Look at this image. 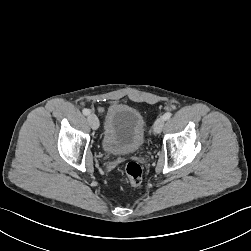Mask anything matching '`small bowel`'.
Here are the masks:
<instances>
[{
	"label": "small bowel",
	"instance_id": "obj_1",
	"mask_svg": "<svg viewBox=\"0 0 251 251\" xmlns=\"http://www.w3.org/2000/svg\"><path fill=\"white\" fill-rule=\"evenodd\" d=\"M78 105H79L81 108H86V107L89 105V100H88L86 97H81V98L78 100Z\"/></svg>",
	"mask_w": 251,
	"mask_h": 251
}]
</instances>
